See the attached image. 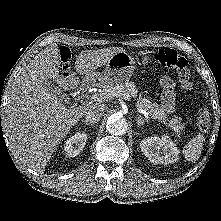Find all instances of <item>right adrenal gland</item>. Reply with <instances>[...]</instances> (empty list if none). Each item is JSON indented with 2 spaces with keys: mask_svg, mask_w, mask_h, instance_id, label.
<instances>
[{
  "mask_svg": "<svg viewBox=\"0 0 221 221\" xmlns=\"http://www.w3.org/2000/svg\"><path fill=\"white\" fill-rule=\"evenodd\" d=\"M82 122H83L85 125H89V126H91V128L94 127V124H91V123H89V122L86 121V120H82Z\"/></svg>",
  "mask_w": 221,
  "mask_h": 221,
  "instance_id": "obj_1",
  "label": "right adrenal gland"
}]
</instances>
